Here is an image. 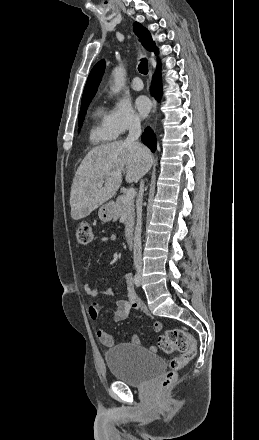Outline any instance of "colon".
<instances>
[{
    "mask_svg": "<svg viewBox=\"0 0 259 440\" xmlns=\"http://www.w3.org/2000/svg\"><path fill=\"white\" fill-rule=\"evenodd\" d=\"M93 237V229L88 223H80L78 225L76 240L80 245L90 244ZM159 346L166 353H180V355L170 361V370L159 385L160 390H166L176 381L177 372L195 357L197 346L193 336L180 328L170 329L160 336Z\"/></svg>",
    "mask_w": 259,
    "mask_h": 440,
    "instance_id": "colon-1",
    "label": "colon"
}]
</instances>
